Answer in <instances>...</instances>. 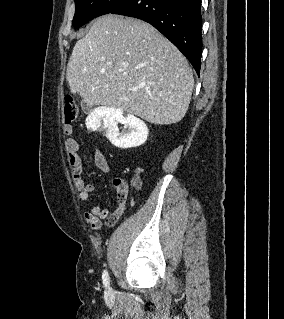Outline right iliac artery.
<instances>
[{"mask_svg":"<svg viewBox=\"0 0 284 319\" xmlns=\"http://www.w3.org/2000/svg\"><path fill=\"white\" fill-rule=\"evenodd\" d=\"M102 280H103L104 286H105V287H108V286H109V275H108L107 270H104V271H103Z\"/></svg>","mask_w":284,"mask_h":319,"instance_id":"1","label":"right iliac artery"}]
</instances>
